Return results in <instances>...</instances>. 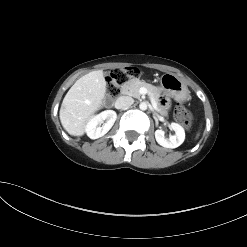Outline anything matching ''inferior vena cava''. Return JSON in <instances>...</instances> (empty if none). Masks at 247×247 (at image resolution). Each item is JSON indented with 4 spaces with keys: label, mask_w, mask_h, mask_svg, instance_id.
Instances as JSON below:
<instances>
[{
    "label": "inferior vena cava",
    "mask_w": 247,
    "mask_h": 247,
    "mask_svg": "<svg viewBox=\"0 0 247 247\" xmlns=\"http://www.w3.org/2000/svg\"><path fill=\"white\" fill-rule=\"evenodd\" d=\"M134 103V99L129 96H120L116 102L115 107L117 109H124L130 107Z\"/></svg>",
    "instance_id": "602c4592"
}]
</instances>
